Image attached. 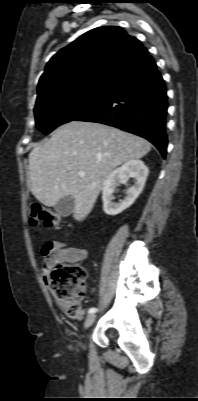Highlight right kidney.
Instances as JSON below:
<instances>
[{
  "mask_svg": "<svg viewBox=\"0 0 198 401\" xmlns=\"http://www.w3.org/2000/svg\"><path fill=\"white\" fill-rule=\"evenodd\" d=\"M149 170L141 160H131L114 170L106 179L102 189L103 210L108 215H117L130 207L142 192ZM129 178L135 183L126 192V197L119 203L113 202V193L120 184Z\"/></svg>",
  "mask_w": 198,
  "mask_h": 401,
  "instance_id": "right-kidney-1",
  "label": "right kidney"
}]
</instances>
